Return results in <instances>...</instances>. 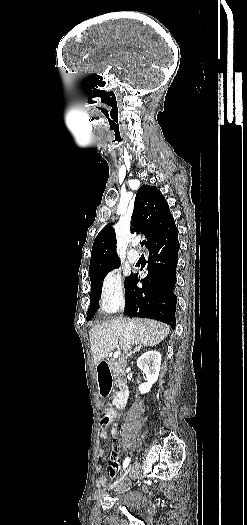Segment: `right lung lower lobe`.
<instances>
[{
    "instance_id": "right-lung-lower-lobe-1",
    "label": "right lung lower lobe",
    "mask_w": 247,
    "mask_h": 525,
    "mask_svg": "<svg viewBox=\"0 0 247 525\" xmlns=\"http://www.w3.org/2000/svg\"><path fill=\"white\" fill-rule=\"evenodd\" d=\"M149 250V274L137 287L138 274H133L125 284V313L130 317H145L176 325L177 296L173 292L176 283L177 253L180 245L175 224L152 238L145 245Z\"/></svg>"
}]
</instances>
